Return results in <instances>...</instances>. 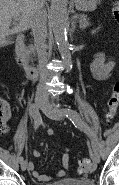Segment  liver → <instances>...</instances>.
Instances as JSON below:
<instances>
[{
    "label": "liver",
    "instance_id": "obj_1",
    "mask_svg": "<svg viewBox=\"0 0 119 185\" xmlns=\"http://www.w3.org/2000/svg\"><path fill=\"white\" fill-rule=\"evenodd\" d=\"M44 0H0V47L8 44L6 37L28 30L36 10ZM18 14V24L10 29L12 17Z\"/></svg>",
    "mask_w": 119,
    "mask_h": 185
}]
</instances>
